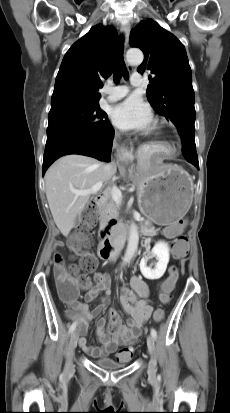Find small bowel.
Returning a JSON list of instances; mask_svg holds the SVG:
<instances>
[{"mask_svg": "<svg viewBox=\"0 0 230 413\" xmlns=\"http://www.w3.org/2000/svg\"><path fill=\"white\" fill-rule=\"evenodd\" d=\"M179 231L180 225H172L164 230V234L166 237H174ZM95 280L96 284L86 294V302L95 301L100 294H103L100 303L90 311L86 303L74 301L72 310L68 312V317L76 323L79 346L90 357L102 358L115 353L120 362H126L130 359V356L123 350L128 348L126 346L140 336L142 326L153 313V309L147 301L150 292L149 287L140 277L135 276L131 279L132 289L123 288L119 296L121 306L130 316L127 324L124 325L121 322L115 310H109L110 326L108 330H105V319L99 318L97 320L96 334L101 346L93 347L88 345L85 338L88 324L107 307L111 293L110 282L104 274H95ZM121 346L124 348L119 349Z\"/></svg>", "mask_w": 230, "mask_h": 413, "instance_id": "c3829d8e", "label": "small bowel"}]
</instances>
